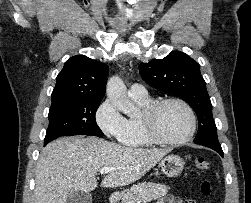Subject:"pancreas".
Returning a JSON list of instances; mask_svg holds the SVG:
<instances>
[{
	"mask_svg": "<svg viewBox=\"0 0 251 203\" xmlns=\"http://www.w3.org/2000/svg\"><path fill=\"white\" fill-rule=\"evenodd\" d=\"M169 187L164 184L142 182L131 186L122 196V203H147L167 194Z\"/></svg>",
	"mask_w": 251,
	"mask_h": 203,
	"instance_id": "1",
	"label": "pancreas"
}]
</instances>
